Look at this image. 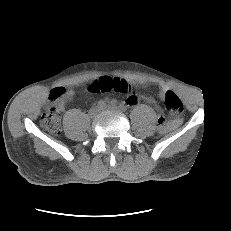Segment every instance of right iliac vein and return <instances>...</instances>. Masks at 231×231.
<instances>
[{
    "label": "right iliac vein",
    "mask_w": 231,
    "mask_h": 231,
    "mask_svg": "<svg viewBox=\"0 0 231 231\" xmlns=\"http://www.w3.org/2000/svg\"><path fill=\"white\" fill-rule=\"evenodd\" d=\"M100 111H101V108H99L98 106L97 107H93V108L90 109L89 115L91 117H96L100 113Z\"/></svg>",
    "instance_id": "obj_1"
}]
</instances>
